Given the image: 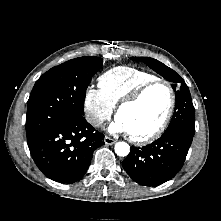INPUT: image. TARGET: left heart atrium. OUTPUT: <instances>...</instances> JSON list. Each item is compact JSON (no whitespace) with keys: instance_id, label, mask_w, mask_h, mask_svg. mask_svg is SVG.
<instances>
[{"instance_id":"39dd6f15","label":"left heart atrium","mask_w":221,"mask_h":221,"mask_svg":"<svg viewBox=\"0 0 221 221\" xmlns=\"http://www.w3.org/2000/svg\"><path fill=\"white\" fill-rule=\"evenodd\" d=\"M109 131L113 133H121L127 132V129L122 121L117 118V120L110 125Z\"/></svg>"}]
</instances>
